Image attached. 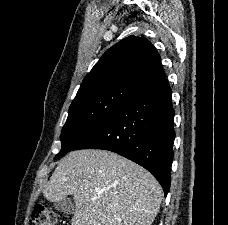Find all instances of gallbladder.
Masks as SVG:
<instances>
[{"instance_id": "1", "label": "gallbladder", "mask_w": 228, "mask_h": 225, "mask_svg": "<svg viewBox=\"0 0 228 225\" xmlns=\"http://www.w3.org/2000/svg\"><path fill=\"white\" fill-rule=\"evenodd\" d=\"M54 207L56 211H61V213H65V215H72L73 213V203L71 199H63V201H56V203H54Z\"/></svg>"}]
</instances>
